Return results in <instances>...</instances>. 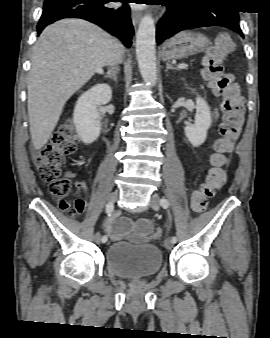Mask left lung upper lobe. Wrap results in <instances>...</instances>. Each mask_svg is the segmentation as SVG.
Segmentation results:
<instances>
[{
    "mask_svg": "<svg viewBox=\"0 0 270 338\" xmlns=\"http://www.w3.org/2000/svg\"><path fill=\"white\" fill-rule=\"evenodd\" d=\"M206 1H212V2H222V0H206Z\"/></svg>",
    "mask_w": 270,
    "mask_h": 338,
    "instance_id": "left-lung-upper-lobe-1",
    "label": "left lung upper lobe"
}]
</instances>
